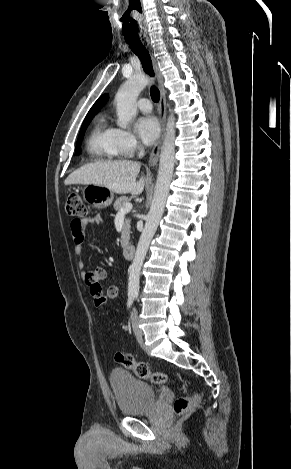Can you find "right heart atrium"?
<instances>
[{
  "label": "right heart atrium",
  "instance_id": "1",
  "mask_svg": "<svg viewBox=\"0 0 291 469\" xmlns=\"http://www.w3.org/2000/svg\"><path fill=\"white\" fill-rule=\"evenodd\" d=\"M114 143L119 154L123 156H130L139 148L137 138L127 129L114 128Z\"/></svg>",
  "mask_w": 291,
  "mask_h": 469
}]
</instances>
